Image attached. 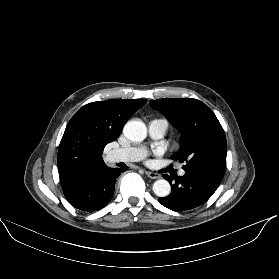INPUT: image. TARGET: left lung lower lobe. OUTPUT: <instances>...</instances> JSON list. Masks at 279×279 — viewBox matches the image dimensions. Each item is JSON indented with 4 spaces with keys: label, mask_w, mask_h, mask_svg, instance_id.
<instances>
[{
    "label": "left lung lower lobe",
    "mask_w": 279,
    "mask_h": 279,
    "mask_svg": "<svg viewBox=\"0 0 279 279\" xmlns=\"http://www.w3.org/2000/svg\"><path fill=\"white\" fill-rule=\"evenodd\" d=\"M172 186L170 195L159 198L158 201L173 211H185L196 208L206 202L216 191L219 184L206 176L185 171L184 176L163 175ZM173 181V183H172Z\"/></svg>",
    "instance_id": "left-lung-lower-lobe-1"
}]
</instances>
